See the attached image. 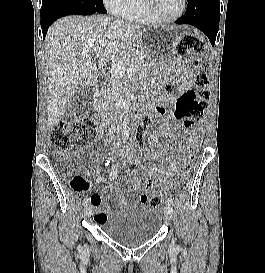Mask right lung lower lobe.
<instances>
[{"mask_svg": "<svg viewBox=\"0 0 265 273\" xmlns=\"http://www.w3.org/2000/svg\"><path fill=\"white\" fill-rule=\"evenodd\" d=\"M95 13L100 12L92 9H78L66 5H52L47 6L45 8H41V29L43 33V39L46 36L48 28L58 18L67 15H91Z\"/></svg>", "mask_w": 265, "mask_h": 273, "instance_id": "98d812e1", "label": "right lung lower lobe"}]
</instances>
